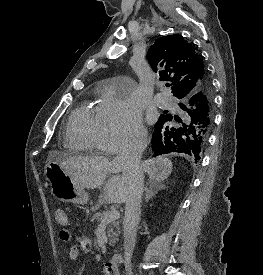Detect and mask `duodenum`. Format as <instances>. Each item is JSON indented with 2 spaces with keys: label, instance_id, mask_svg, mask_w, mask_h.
<instances>
[{
  "label": "duodenum",
  "instance_id": "1",
  "mask_svg": "<svg viewBox=\"0 0 263 275\" xmlns=\"http://www.w3.org/2000/svg\"><path fill=\"white\" fill-rule=\"evenodd\" d=\"M123 262V255L121 253H115L109 262L105 266L110 270H116L118 265Z\"/></svg>",
  "mask_w": 263,
  "mask_h": 275
}]
</instances>
